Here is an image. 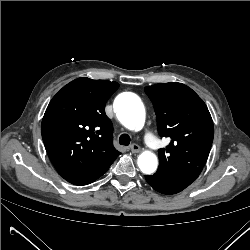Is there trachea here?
Listing matches in <instances>:
<instances>
[{
    "instance_id": "obj_1",
    "label": "trachea",
    "mask_w": 250,
    "mask_h": 250,
    "mask_svg": "<svg viewBox=\"0 0 250 250\" xmlns=\"http://www.w3.org/2000/svg\"><path fill=\"white\" fill-rule=\"evenodd\" d=\"M119 143L124 146H128L130 144V137L128 134H122L119 137Z\"/></svg>"
}]
</instances>
